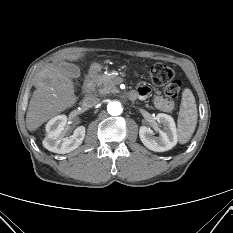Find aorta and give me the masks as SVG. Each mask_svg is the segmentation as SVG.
Listing matches in <instances>:
<instances>
[{
    "label": "aorta",
    "mask_w": 233,
    "mask_h": 233,
    "mask_svg": "<svg viewBox=\"0 0 233 233\" xmlns=\"http://www.w3.org/2000/svg\"><path fill=\"white\" fill-rule=\"evenodd\" d=\"M107 111L112 116L120 115L123 112V107L118 101H111L107 105Z\"/></svg>",
    "instance_id": "aorta-1"
}]
</instances>
